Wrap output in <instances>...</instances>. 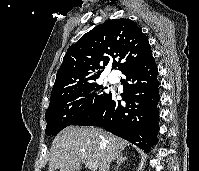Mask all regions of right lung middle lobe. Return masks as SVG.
I'll list each match as a JSON object with an SVG mask.
<instances>
[{"instance_id": "dd1d6c3e", "label": "right lung middle lobe", "mask_w": 199, "mask_h": 171, "mask_svg": "<svg viewBox=\"0 0 199 171\" xmlns=\"http://www.w3.org/2000/svg\"><path fill=\"white\" fill-rule=\"evenodd\" d=\"M96 81L87 83L64 98L50 104L45 113L46 135H56L97 106L108 93Z\"/></svg>"}]
</instances>
